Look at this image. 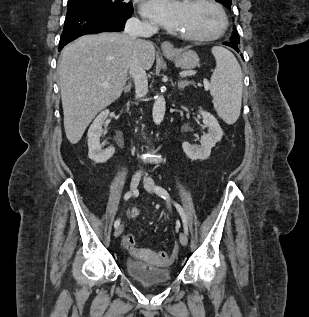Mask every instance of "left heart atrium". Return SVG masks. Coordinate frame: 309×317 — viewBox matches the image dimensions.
<instances>
[{
  "instance_id": "1",
  "label": "left heart atrium",
  "mask_w": 309,
  "mask_h": 317,
  "mask_svg": "<svg viewBox=\"0 0 309 317\" xmlns=\"http://www.w3.org/2000/svg\"><path fill=\"white\" fill-rule=\"evenodd\" d=\"M184 6L181 0H147L142 12L166 29L178 30Z\"/></svg>"
}]
</instances>
